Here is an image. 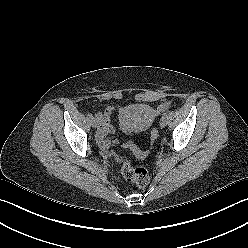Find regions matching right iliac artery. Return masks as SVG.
<instances>
[{
    "label": "right iliac artery",
    "mask_w": 248,
    "mask_h": 248,
    "mask_svg": "<svg viewBox=\"0 0 248 248\" xmlns=\"http://www.w3.org/2000/svg\"><path fill=\"white\" fill-rule=\"evenodd\" d=\"M87 116H88V118H90V119L93 118V115H92V114H88Z\"/></svg>",
    "instance_id": "82829eb1"
}]
</instances>
